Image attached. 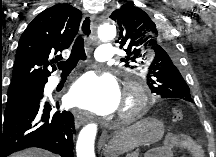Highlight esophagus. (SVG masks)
<instances>
[{
    "mask_svg": "<svg viewBox=\"0 0 216 157\" xmlns=\"http://www.w3.org/2000/svg\"><path fill=\"white\" fill-rule=\"evenodd\" d=\"M94 19L95 16L92 14H86L81 22L80 26V32L85 36V37H90L93 35L95 27H94ZM87 119L80 115L76 114L75 115V127L79 128L81 125L85 124Z\"/></svg>",
    "mask_w": 216,
    "mask_h": 157,
    "instance_id": "esophagus-1",
    "label": "esophagus"
}]
</instances>
